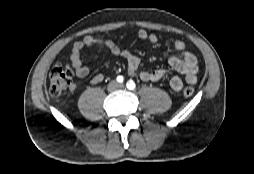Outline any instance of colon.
I'll use <instances>...</instances> for the list:
<instances>
[{"mask_svg":"<svg viewBox=\"0 0 254 174\" xmlns=\"http://www.w3.org/2000/svg\"><path fill=\"white\" fill-rule=\"evenodd\" d=\"M73 77V71L63 65L62 62H58L52 68L49 75V91L54 97L61 95L65 92L71 84V79ZM194 93L192 87H185L183 89V95L185 97H190Z\"/></svg>","mask_w":254,"mask_h":174,"instance_id":"obj_1","label":"colon"}]
</instances>
